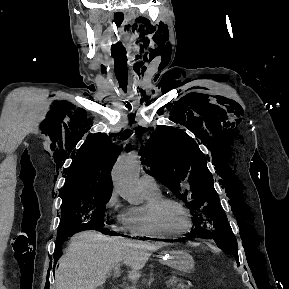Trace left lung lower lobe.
<instances>
[{
	"instance_id": "left-lung-lower-lobe-1",
	"label": "left lung lower lobe",
	"mask_w": 289,
	"mask_h": 289,
	"mask_svg": "<svg viewBox=\"0 0 289 289\" xmlns=\"http://www.w3.org/2000/svg\"><path fill=\"white\" fill-rule=\"evenodd\" d=\"M190 237H204V238H212L210 235L208 234H204V233H201V234H198V233H194V232H191L187 237L186 239L190 238Z\"/></svg>"
}]
</instances>
